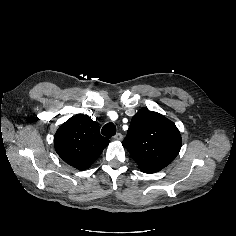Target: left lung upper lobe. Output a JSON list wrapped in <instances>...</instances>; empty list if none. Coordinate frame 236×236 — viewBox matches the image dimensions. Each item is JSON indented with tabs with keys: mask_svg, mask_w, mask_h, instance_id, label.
I'll return each instance as SVG.
<instances>
[{
	"mask_svg": "<svg viewBox=\"0 0 236 236\" xmlns=\"http://www.w3.org/2000/svg\"><path fill=\"white\" fill-rule=\"evenodd\" d=\"M181 142L180 132L172 121L142 108L132 118L122 145L139 169L150 174L162 170L176 158Z\"/></svg>",
	"mask_w": 236,
	"mask_h": 236,
	"instance_id": "left-lung-upper-lobe-1",
	"label": "left lung upper lobe"
}]
</instances>
